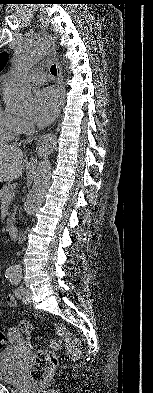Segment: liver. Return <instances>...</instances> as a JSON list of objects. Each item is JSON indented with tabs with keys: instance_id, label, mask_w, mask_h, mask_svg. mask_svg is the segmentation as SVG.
Wrapping results in <instances>:
<instances>
[{
	"instance_id": "liver-1",
	"label": "liver",
	"mask_w": 153,
	"mask_h": 393,
	"mask_svg": "<svg viewBox=\"0 0 153 393\" xmlns=\"http://www.w3.org/2000/svg\"><path fill=\"white\" fill-rule=\"evenodd\" d=\"M25 157L15 145L0 146V183L19 178L25 170Z\"/></svg>"
}]
</instances>
